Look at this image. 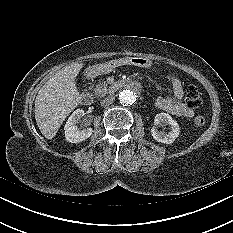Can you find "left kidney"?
Listing matches in <instances>:
<instances>
[{"instance_id": "1", "label": "left kidney", "mask_w": 233, "mask_h": 233, "mask_svg": "<svg viewBox=\"0 0 233 233\" xmlns=\"http://www.w3.org/2000/svg\"><path fill=\"white\" fill-rule=\"evenodd\" d=\"M167 124L170 126V132L164 133L157 130V127H163ZM179 133L180 128L177 121H175L169 114L159 113L155 116L154 127L151 129V135L156 141L171 144L179 136Z\"/></svg>"}]
</instances>
